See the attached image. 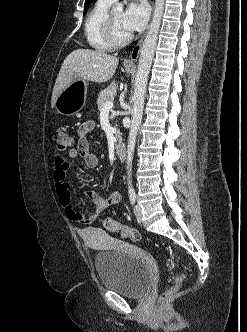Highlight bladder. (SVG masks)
<instances>
[{
	"label": "bladder",
	"instance_id": "31cf9c89",
	"mask_svg": "<svg viewBox=\"0 0 247 332\" xmlns=\"http://www.w3.org/2000/svg\"><path fill=\"white\" fill-rule=\"evenodd\" d=\"M87 244L90 240L84 237ZM95 266L104 288L128 298H141L154 281V259L137 247L118 243L113 248L99 252Z\"/></svg>",
	"mask_w": 247,
	"mask_h": 332
}]
</instances>
